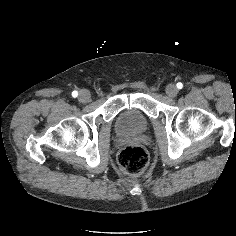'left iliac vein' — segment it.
Listing matches in <instances>:
<instances>
[{
	"instance_id": "obj_1",
	"label": "left iliac vein",
	"mask_w": 236,
	"mask_h": 236,
	"mask_svg": "<svg viewBox=\"0 0 236 236\" xmlns=\"http://www.w3.org/2000/svg\"><path fill=\"white\" fill-rule=\"evenodd\" d=\"M166 93L169 97L171 98H174L177 96L178 94V89L177 87L174 85V84H169L167 87H166Z\"/></svg>"
}]
</instances>
